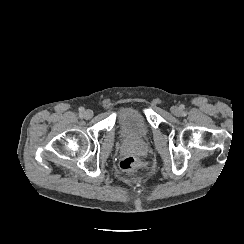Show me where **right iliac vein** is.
Wrapping results in <instances>:
<instances>
[{
    "label": "right iliac vein",
    "mask_w": 244,
    "mask_h": 244,
    "mask_svg": "<svg viewBox=\"0 0 244 244\" xmlns=\"http://www.w3.org/2000/svg\"><path fill=\"white\" fill-rule=\"evenodd\" d=\"M83 116H84L85 118L89 119V118H91V117L93 116V111L87 109V110L84 112Z\"/></svg>",
    "instance_id": "right-iliac-vein-1"
}]
</instances>
